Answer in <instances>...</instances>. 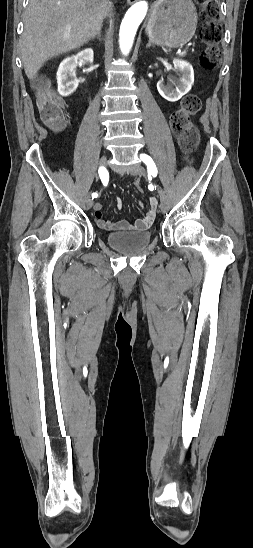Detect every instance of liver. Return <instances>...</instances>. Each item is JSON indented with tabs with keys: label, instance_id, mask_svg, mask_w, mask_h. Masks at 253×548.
<instances>
[{
	"label": "liver",
	"instance_id": "obj_1",
	"mask_svg": "<svg viewBox=\"0 0 253 548\" xmlns=\"http://www.w3.org/2000/svg\"><path fill=\"white\" fill-rule=\"evenodd\" d=\"M108 0H29L21 56L32 80L50 58L77 49L95 37L107 16Z\"/></svg>",
	"mask_w": 253,
	"mask_h": 548
}]
</instances>
